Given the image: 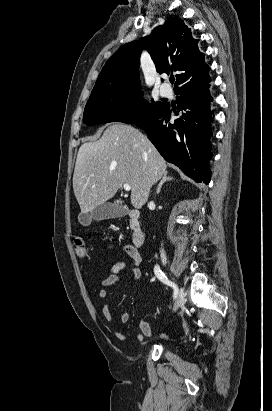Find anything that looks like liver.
I'll return each mask as SVG.
<instances>
[{"label":"liver","mask_w":272,"mask_h":411,"mask_svg":"<svg viewBox=\"0 0 272 411\" xmlns=\"http://www.w3.org/2000/svg\"><path fill=\"white\" fill-rule=\"evenodd\" d=\"M166 161L139 130L113 124L94 142L79 148L73 190L81 213L111 199L124 184L131 187V203L140 209L149 191L166 171Z\"/></svg>","instance_id":"liver-1"}]
</instances>
